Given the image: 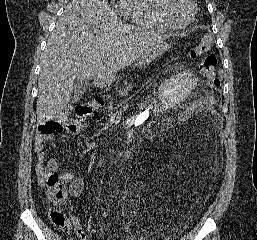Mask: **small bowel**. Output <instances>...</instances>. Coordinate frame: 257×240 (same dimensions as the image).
<instances>
[{"label": "small bowel", "mask_w": 257, "mask_h": 240, "mask_svg": "<svg viewBox=\"0 0 257 240\" xmlns=\"http://www.w3.org/2000/svg\"><path fill=\"white\" fill-rule=\"evenodd\" d=\"M79 131V127L74 124L66 125L61 132H65L69 135H76ZM53 139V134L45 135L38 133L35 137V153L37 158V176L40 183H44L49 175L55 174L59 167V161L51 158L47 161L46 165L43 163L46 158L44 151V144L46 141ZM62 182L68 183V191L72 197H79L83 188V179L79 177L75 172H64L58 175ZM69 229L72 230L78 240H87L85 232L82 230L78 221L74 218L69 219Z\"/></svg>", "instance_id": "obj_1"}]
</instances>
